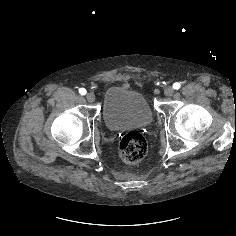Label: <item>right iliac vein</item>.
I'll list each match as a JSON object with an SVG mask.
<instances>
[{"label":"right iliac vein","instance_id":"obj_1","mask_svg":"<svg viewBox=\"0 0 236 236\" xmlns=\"http://www.w3.org/2000/svg\"><path fill=\"white\" fill-rule=\"evenodd\" d=\"M86 99L88 102H94L95 101V95L93 93H87L86 94Z\"/></svg>","mask_w":236,"mask_h":236}]
</instances>
